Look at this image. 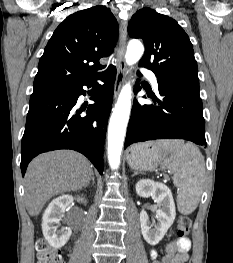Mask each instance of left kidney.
I'll return each mask as SVG.
<instances>
[{
    "label": "left kidney",
    "mask_w": 233,
    "mask_h": 263,
    "mask_svg": "<svg viewBox=\"0 0 233 263\" xmlns=\"http://www.w3.org/2000/svg\"><path fill=\"white\" fill-rule=\"evenodd\" d=\"M136 193L140 197H152L159 206L156 210L157 224L149 221V216L145 210L140 212L142 235L148 244L154 246L163 239L175 220L176 210L172 192L163 183L142 179L136 184Z\"/></svg>",
    "instance_id": "obj_1"
}]
</instances>
